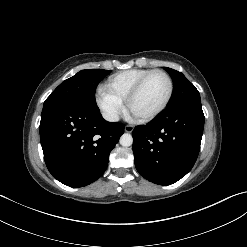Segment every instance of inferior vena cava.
Listing matches in <instances>:
<instances>
[{
    "mask_svg": "<svg viewBox=\"0 0 247 247\" xmlns=\"http://www.w3.org/2000/svg\"><path fill=\"white\" fill-rule=\"evenodd\" d=\"M103 118L109 122H117L119 120V116L116 113H103Z\"/></svg>",
    "mask_w": 247,
    "mask_h": 247,
    "instance_id": "obj_1",
    "label": "inferior vena cava"
}]
</instances>
